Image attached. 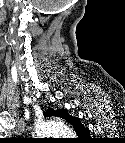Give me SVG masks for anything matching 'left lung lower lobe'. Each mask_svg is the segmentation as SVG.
Segmentation results:
<instances>
[{"label": "left lung lower lobe", "mask_w": 125, "mask_h": 143, "mask_svg": "<svg viewBox=\"0 0 125 143\" xmlns=\"http://www.w3.org/2000/svg\"><path fill=\"white\" fill-rule=\"evenodd\" d=\"M64 119L72 125H75V124L80 122L79 118L68 116L67 113L65 114ZM88 136H89V130L88 129L85 132H83L82 135H79V137H85V138H88Z\"/></svg>", "instance_id": "obj_1"}]
</instances>
